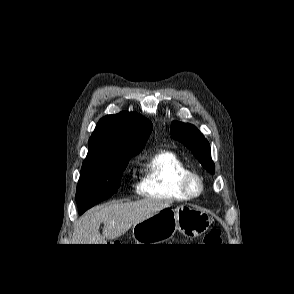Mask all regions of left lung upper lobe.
<instances>
[{"instance_id": "1", "label": "left lung upper lobe", "mask_w": 294, "mask_h": 294, "mask_svg": "<svg viewBox=\"0 0 294 294\" xmlns=\"http://www.w3.org/2000/svg\"><path fill=\"white\" fill-rule=\"evenodd\" d=\"M171 136L191 149L193 155L199 160L203 168L212 174L215 173L210 145L195 126L173 121L171 124Z\"/></svg>"}]
</instances>
